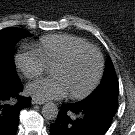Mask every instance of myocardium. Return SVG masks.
<instances>
[{
  "label": "myocardium",
  "instance_id": "f54148a6",
  "mask_svg": "<svg viewBox=\"0 0 135 135\" xmlns=\"http://www.w3.org/2000/svg\"><path fill=\"white\" fill-rule=\"evenodd\" d=\"M86 51H91L94 52L98 58V68H97V72L96 75L93 79V81L91 82V84L81 93H69V96L72 99H84L86 97H88L98 86L103 72H104V58L102 53L100 52V50L94 46H84V47H78V48H74L73 50H71L65 57H63L62 59H60L59 61H57L53 66V68L56 67H62V66H66L68 64H70L77 55H79L80 53L86 52Z\"/></svg>",
  "mask_w": 135,
  "mask_h": 135
}]
</instances>
